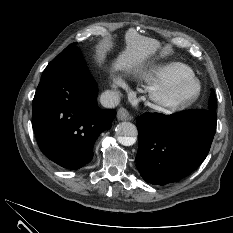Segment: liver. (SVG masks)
<instances>
[{"label":"liver","instance_id":"obj_1","mask_svg":"<svg viewBox=\"0 0 233 233\" xmlns=\"http://www.w3.org/2000/svg\"><path fill=\"white\" fill-rule=\"evenodd\" d=\"M126 49L112 64V72L130 71L140 66L146 56L155 51L158 44L147 37L136 32H129L126 35Z\"/></svg>","mask_w":233,"mask_h":233}]
</instances>
